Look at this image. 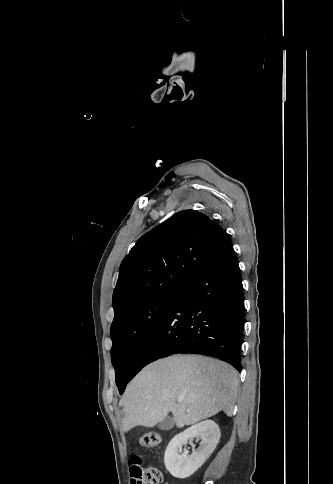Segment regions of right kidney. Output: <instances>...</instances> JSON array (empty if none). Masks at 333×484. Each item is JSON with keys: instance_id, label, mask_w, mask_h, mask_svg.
<instances>
[{"instance_id": "ca27d5eb", "label": "right kidney", "mask_w": 333, "mask_h": 484, "mask_svg": "<svg viewBox=\"0 0 333 484\" xmlns=\"http://www.w3.org/2000/svg\"><path fill=\"white\" fill-rule=\"evenodd\" d=\"M221 433L219 426L212 420H205L176 435L168 444L164 463L169 473L179 479H185L193 475L209 458ZM200 440L199 447L193 449L192 454L182 452V445L187 444L189 439Z\"/></svg>"}]
</instances>
